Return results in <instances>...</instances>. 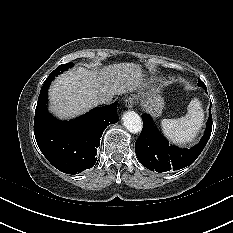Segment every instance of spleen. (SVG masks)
I'll list each match as a JSON object with an SVG mask.
<instances>
[{
	"mask_svg": "<svg viewBox=\"0 0 233 233\" xmlns=\"http://www.w3.org/2000/svg\"><path fill=\"white\" fill-rule=\"evenodd\" d=\"M187 111L181 118L161 121L164 135L176 145L192 143L203 126L204 112L198 98L191 100Z\"/></svg>",
	"mask_w": 233,
	"mask_h": 233,
	"instance_id": "1",
	"label": "spleen"
}]
</instances>
